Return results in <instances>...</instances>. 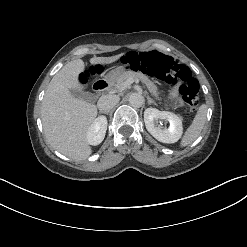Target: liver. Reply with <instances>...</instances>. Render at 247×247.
Returning a JSON list of instances; mask_svg holds the SVG:
<instances>
[{
	"label": "liver",
	"mask_w": 247,
	"mask_h": 247,
	"mask_svg": "<svg viewBox=\"0 0 247 247\" xmlns=\"http://www.w3.org/2000/svg\"><path fill=\"white\" fill-rule=\"evenodd\" d=\"M122 55L93 57L90 63L110 64ZM84 68L81 59L67 63L50 81L41 106V120L48 143L74 160H84L91 155L87 132L97 116L96 105L71 94L72 89L83 90L78 77Z\"/></svg>",
	"instance_id": "1"
}]
</instances>
